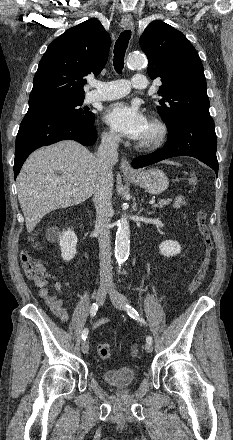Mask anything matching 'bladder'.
<instances>
[{
  "mask_svg": "<svg viewBox=\"0 0 233 440\" xmlns=\"http://www.w3.org/2000/svg\"><path fill=\"white\" fill-rule=\"evenodd\" d=\"M104 381L113 387L122 388L131 386L136 378V373L131 367H121L105 370L102 373Z\"/></svg>",
  "mask_w": 233,
  "mask_h": 440,
  "instance_id": "obj_1",
  "label": "bladder"
}]
</instances>
